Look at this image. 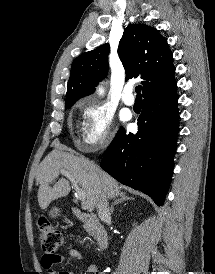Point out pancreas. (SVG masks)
Segmentation results:
<instances>
[{
  "mask_svg": "<svg viewBox=\"0 0 215 274\" xmlns=\"http://www.w3.org/2000/svg\"><path fill=\"white\" fill-rule=\"evenodd\" d=\"M85 228H86V230L87 231H89L90 230V228H89V225L88 224H85V226H84Z\"/></svg>",
  "mask_w": 215,
  "mask_h": 274,
  "instance_id": "cf45deb5",
  "label": "pancreas"
}]
</instances>
